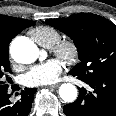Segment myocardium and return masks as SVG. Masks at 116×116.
Here are the masks:
<instances>
[{
  "instance_id": "obj_1",
  "label": "myocardium",
  "mask_w": 116,
  "mask_h": 116,
  "mask_svg": "<svg viewBox=\"0 0 116 116\" xmlns=\"http://www.w3.org/2000/svg\"><path fill=\"white\" fill-rule=\"evenodd\" d=\"M53 51L68 62L76 61L78 57V47L71 40L58 41L53 47Z\"/></svg>"
}]
</instances>
